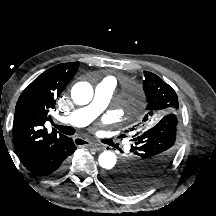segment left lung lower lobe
Segmentation results:
<instances>
[{"mask_svg":"<svg viewBox=\"0 0 216 216\" xmlns=\"http://www.w3.org/2000/svg\"><path fill=\"white\" fill-rule=\"evenodd\" d=\"M107 177H108V175L106 174V175L104 176V178H103L104 183H105ZM105 184H106V183H105ZM106 185H107V184H106ZM109 188H110V187H109ZM110 189H111V188H110Z\"/></svg>","mask_w":216,"mask_h":216,"instance_id":"1","label":"left lung lower lobe"}]
</instances>
